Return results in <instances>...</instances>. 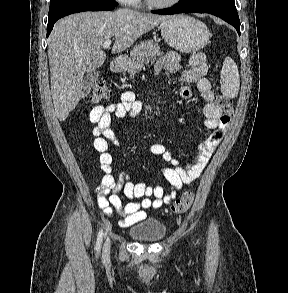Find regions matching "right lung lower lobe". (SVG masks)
Listing matches in <instances>:
<instances>
[{
	"mask_svg": "<svg viewBox=\"0 0 288 293\" xmlns=\"http://www.w3.org/2000/svg\"><path fill=\"white\" fill-rule=\"evenodd\" d=\"M115 7H100V6H95V5H79V6H75V7H71L68 9H65L51 17H48V25H47V37L49 36V34L51 33L54 23L64 17L67 16L69 14L72 13H77V12H83V11H102V10H112Z\"/></svg>",
	"mask_w": 288,
	"mask_h": 293,
	"instance_id": "1",
	"label": "right lung lower lobe"
}]
</instances>
